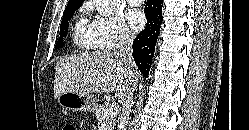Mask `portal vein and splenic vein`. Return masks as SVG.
Masks as SVG:
<instances>
[{"label": "portal vein and splenic vein", "mask_w": 249, "mask_h": 130, "mask_svg": "<svg viewBox=\"0 0 249 130\" xmlns=\"http://www.w3.org/2000/svg\"><path fill=\"white\" fill-rule=\"evenodd\" d=\"M119 111V108L116 104H112L109 106V108L104 112V117L109 118V117H114L117 115Z\"/></svg>", "instance_id": "1"}]
</instances>
